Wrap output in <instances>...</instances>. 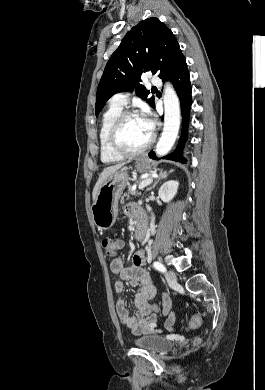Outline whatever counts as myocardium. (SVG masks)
<instances>
[{"label":"myocardium","instance_id":"1","mask_svg":"<svg viewBox=\"0 0 265 390\" xmlns=\"http://www.w3.org/2000/svg\"><path fill=\"white\" fill-rule=\"evenodd\" d=\"M132 116H137V114L131 110L122 111L114 121L109 132V144L111 149L122 157H134L143 154L151 146L154 139L153 135L150 134L148 141L141 148L136 150H130L121 143V128L124 122Z\"/></svg>","mask_w":265,"mask_h":390}]
</instances>
